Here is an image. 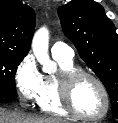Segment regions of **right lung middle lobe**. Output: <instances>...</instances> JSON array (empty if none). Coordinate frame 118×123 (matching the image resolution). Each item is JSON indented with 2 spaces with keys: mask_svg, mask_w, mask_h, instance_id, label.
<instances>
[{
  "mask_svg": "<svg viewBox=\"0 0 118 123\" xmlns=\"http://www.w3.org/2000/svg\"><path fill=\"white\" fill-rule=\"evenodd\" d=\"M24 56L0 52V98H17L15 74Z\"/></svg>",
  "mask_w": 118,
  "mask_h": 123,
  "instance_id": "dd1d6c3e",
  "label": "right lung middle lobe"
}]
</instances>
